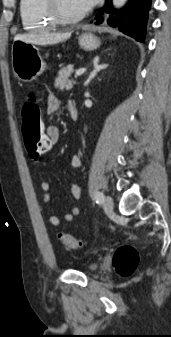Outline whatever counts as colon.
Returning a JSON list of instances; mask_svg holds the SVG:
<instances>
[{"label": "colon", "instance_id": "1", "mask_svg": "<svg viewBox=\"0 0 171 337\" xmlns=\"http://www.w3.org/2000/svg\"><path fill=\"white\" fill-rule=\"evenodd\" d=\"M22 135L25 149L31 160H38L52 147V140H48L43 133L40 120V107L33 94H30L21 109ZM58 239L62 245L70 249H78L83 242L70 234L60 232ZM139 262V254L135 247L124 244L118 247L113 256V266L118 274L128 277L133 274Z\"/></svg>", "mask_w": 171, "mask_h": 337}]
</instances>
